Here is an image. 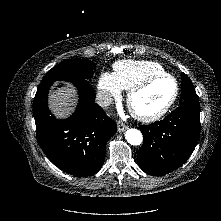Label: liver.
Listing matches in <instances>:
<instances>
[{"mask_svg": "<svg viewBox=\"0 0 221 221\" xmlns=\"http://www.w3.org/2000/svg\"><path fill=\"white\" fill-rule=\"evenodd\" d=\"M76 89L71 85L58 87L49 96V107L56 118L68 117L76 103Z\"/></svg>", "mask_w": 221, "mask_h": 221, "instance_id": "obj_1", "label": "liver"}]
</instances>
